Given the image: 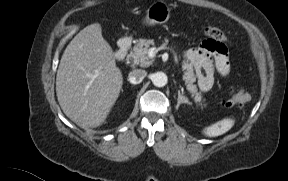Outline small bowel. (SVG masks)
Segmentation results:
<instances>
[{
  "instance_id": "small-bowel-1",
  "label": "small bowel",
  "mask_w": 288,
  "mask_h": 181,
  "mask_svg": "<svg viewBox=\"0 0 288 181\" xmlns=\"http://www.w3.org/2000/svg\"><path fill=\"white\" fill-rule=\"evenodd\" d=\"M198 72V83L202 90H210L214 85V75L225 77L229 73V60L224 51H217L206 43L203 47L188 52Z\"/></svg>"
}]
</instances>
